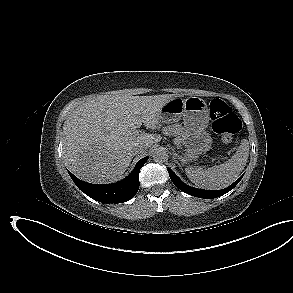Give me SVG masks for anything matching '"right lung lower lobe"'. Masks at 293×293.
Instances as JSON below:
<instances>
[{
    "mask_svg": "<svg viewBox=\"0 0 293 293\" xmlns=\"http://www.w3.org/2000/svg\"><path fill=\"white\" fill-rule=\"evenodd\" d=\"M148 156L137 162L134 170L123 180L114 184L97 185L79 180L71 172V178L86 195L94 200L104 203H122L135 196L139 189V172Z\"/></svg>",
    "mask_w": 293,
    "mask_h": 293,
    "instance_id": "obj_1",
    "label": "right lung lower lobe"
}]
</instances>
